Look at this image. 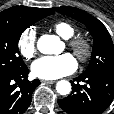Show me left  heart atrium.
Returning <instances> with one entry per match:
<instances>
[{"mask_svg":"<svg viewBox=\"0 0 114 114\" xmlns=\"http://www.w3.org/2000/svg\"><path fill=\"white\" fill-rule=\"evenodd\" d=\"M77 69L75 58L68 53L58 56H44L31 65L34 76L40 79L54 80L67 76Z\"/></svg>","mask_w":114,"mask_h":114,"instance_id":"39dd6f15","label":"left heart atrium"}]
</instances>
